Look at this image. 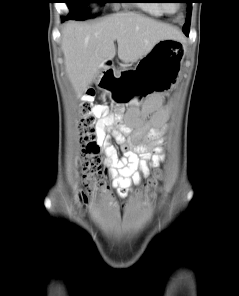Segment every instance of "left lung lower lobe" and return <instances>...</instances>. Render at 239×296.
Listing matches in <instances>:
<instances>
[{
  "instance_id": "1",
  "label": "left lung lower lobe",
  "mask_w": 239,
  "mask_h": 296,
  "mask_svg": "<svg viewBox=\"0 0 239 296\" xmlns=\"http://www.w3.org/2000/svg\"><path fill=\"white\" fill-rule=\"evenodd\" d=\"M183 32H184V34H185L186 36H188V34H189V29L183 28Z\"/></svg>"
}]
</instances>
